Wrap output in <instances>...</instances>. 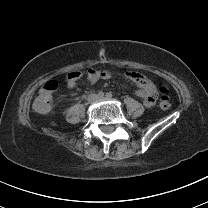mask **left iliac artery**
<instances>
[{
	"label": "left iliac artery",
	"instance_id": "1",
	"mask_svg": "<svg viewBox=\"0 0 208 208\" xmlns=\"http://www.w3.org/2000/svg\"><path fill=\"white\" fill-rule=\"evenodd\" d=\"M106 96H107L108 98H111V97H112V93H111V92H108V93L106 94Z\"/></svg>",
	"mask_w": 208,
	"mask_h": 208
}]
</instances>
